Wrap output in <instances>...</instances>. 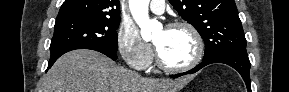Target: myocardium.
Listing matches in <instances>:
<instances>
[{"label": "myocardium", "instance_id": "f54148a6", "mask_svg": "<svg viewBox=\"0 0 289 92\" xmlns=\"http://www.w3.org/2000/svg\"><path fill=\"white\" fill-rule=\"evenodd\" d=\"M169 28L170 29H186L187 31L190 32V34L192 35L194 39L195 46H196L195 55L193 59L185 65L172 66V65L167 64L162 59L159 52H157L156 59H157L158 66L164 71L173 72V73L186 72L195 68L202 61L203 56H204V50H205L204 40L200 32L193 24L186 22V21L173 22L169 25Z\"/></svg>", "mask_w": 289, "mask_h": 92}]
</instances>
